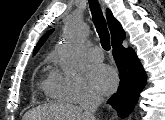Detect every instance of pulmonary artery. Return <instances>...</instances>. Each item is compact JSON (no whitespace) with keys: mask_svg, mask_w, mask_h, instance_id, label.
Wrapping results in <instances>:
<instances>
[{"mask_svg":"<svg viewBox=\"0 0 165 120\" xmlns=\"http://www.w3.org/2000/svg\"><path fill=\"white\" fill-rule=\"evenodd\" d=\"M87 57L92 62H99L103 60L104 54L99 46H93L88 49Z\"/></svg>","mask_w":165,"mask_h":120,"instance_id":"pulmonary-artery-1","label":"pulmonary artery"}]
</instances>
